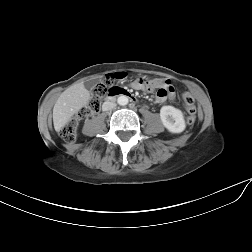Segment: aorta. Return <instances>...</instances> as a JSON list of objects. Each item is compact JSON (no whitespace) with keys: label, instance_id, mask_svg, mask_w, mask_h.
I'll use <instances>...</instances> for the list:
<instances>
[{"label":"aorta","instance_id":"aorta-1","mask_svg":"<svg viewBox=\"0 0 252 252\" xmlns=\"http://www.w3.org/2000/svg\"><path fill=\"white\" fill-rule=\"evenodd\" d=\"M119 105L124 106L128 103V98L126 96H119L117 99Z\"/></svg>","mask_w":252,"mask_h":252}]
</instances>
